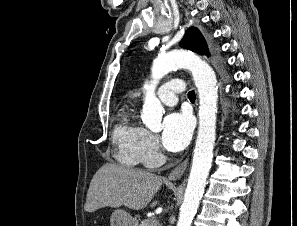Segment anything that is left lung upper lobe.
<instances>
[{"instance_id": "1", "label": "left lung upper lobe", "mask_w": 297, "mask_h": 226, "mask_svg": "<svg viewBox=\"0 0 297 226\" xmlns=\"http://www.w3.org/2000/svg\"><path fill=\"white\" fill-rule=\"evenodd\" d=\"M180 46L201 55H208V47L205 39L200 31L194 27H191L186 31L180 42Z\"/></svg>"}]
</instances>
